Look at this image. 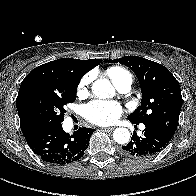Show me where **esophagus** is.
I'll return each instance as SVG.
<instances>
[{
	"label": "esophagus",
	"instance_id": "obj_1",
	"mask_svg": "<svg viewBox=\"0 0 196 196\" xmlns=\"http://www.w3.org/2000/svg\"><path fill=\"white\" fill-rule=\"evenodd\" d=\"M104 130H107V131H113L114 130V127H106V128H103Z\"/></svg>",
	"mask_w": 196,
	"mask_h": 196
}]
</instances>
